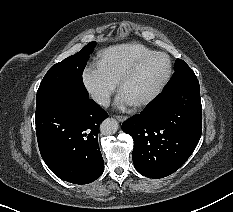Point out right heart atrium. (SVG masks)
Returning <instances> with one entry per match:
<instances>
[{"label":"right heart atrium","mask_w":233,"mask_h":212,"mask_svg":"<svg viewBox=\"0 0 233 212\" xmlns=\"http://www.w3.org/2000/svg\"><path fill=\"white\" fill-rule=\"evenodd\" d=\"M81 78L89 96L101 106L108 104L118 85L98 63L87 65Z\"/></svg>","instance_id":"right-heart-atrium-1"}]
</instances>
